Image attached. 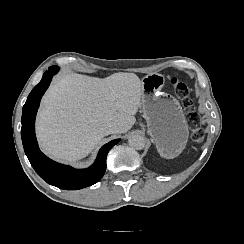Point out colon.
Listing matches in <instances>:
<instances>
[{
    "mask_svg": "<svg viewBox=\"0 0 244 244\" xmlns=\"http://www.w3.org/2000/svg\"><path fill=\"white\" fill-rule=\"evenodd\" d=\"M170 84L175 92L178 94V96L181 98L182 105L187 112L189 121L198 124V115L194 110L193 100L189 97V87L187 86V84L178 78H172L170 80ZM192 138L194 139V141L197 142L202 141L204 139V131L201 128L196 127L193 131Z\"/></svg>",
    "mask_w": 244,
    "mask_h": 244,
    "instance_id": "1",
    "label": "colon"
}]
</instances>
